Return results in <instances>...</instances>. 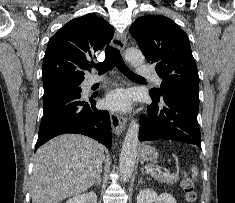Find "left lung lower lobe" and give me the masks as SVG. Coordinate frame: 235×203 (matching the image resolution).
<instances>
[{
    "instance_id": "obj_1",
    "label": "left lung lower lobe",
    "mask_w": 235,
    "mask_h": 203,
    "mask_svg": "<svg viewBox=\"0 0 235 203\" xmlns=\"http://www.w3.org/2000/svg\"><path fill=\"white\" fill-rule=\"evenodd\" d=\"M150 95L153 102L147 109V117L141 118L139 140H175L201 148L197 121L198 92L186 88H171L163 91L161 97Z\"/></svg>"
}]
</instances>
